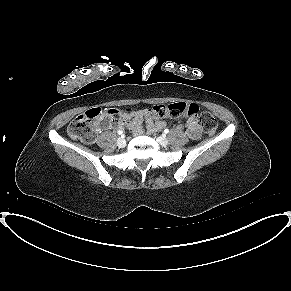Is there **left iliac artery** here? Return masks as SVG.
Listing matches in <instances>:
<instances>
[{"mask_svg": "<svg viewBox=\"0 0 291 291\" xmlns=\"http://www.w3.org/2000/svg\"><path fill=\"white\" fill-rule=\"evenodd\" d=\"M164 133H165V134L169 133V130H168V129H165V130H164Z\"/></svg>", "mask_w": 291, "mask_h": 291, "instance_id": "1", "label": "left iliac artery"}]
</instances>
